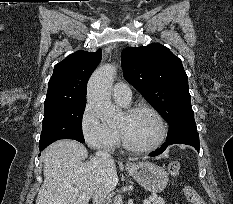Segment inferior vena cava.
<instances>
[{"mask_svg": "<svg viewBox=\"0 0 233 204\" xmlns=\"http://www.w3.org/2000/svg\"><path fill=\"white\" fill-rule=\"evenodd\" d=\"M96 157L103 162H111L112 161V157L109 153L105 152V151H97L96 152ZM108 204L106 201V197L103 195H96L93 197V204Z\"/></svg>", "mask_w": 233, "mask_h": 204, "instance_id": "1", "label": "inferior vena cava"}]
</instances>
